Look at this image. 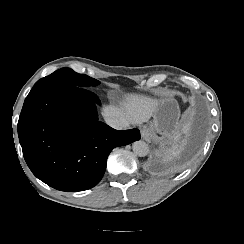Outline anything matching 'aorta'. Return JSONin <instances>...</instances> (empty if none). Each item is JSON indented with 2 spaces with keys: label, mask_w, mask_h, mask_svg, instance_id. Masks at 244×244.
Wrapping results in <instances>:
<instances>
[{
  "label": "aorta",
  "mask_w": 244,
  "mask_h": 244,
  "mask_svg": "<svg viewBox=\"0 0 244 244\" xmlns=\"http://www.w3.org/2000/svg\"><path fill=\"white\" fill-rule=\"evenodd\" d=\"M132 149L135 155L144 157L149 153L148 144L144 141H135L132 145Z\"/></svg>",
  "instance_id": "762f6f07"
}]
</instances>
